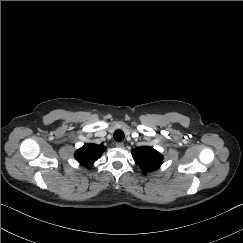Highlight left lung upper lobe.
Returning <instances> with one entry per match:
<instances>
[{
	"label": "left lung upper lobe",
	"instance_id": "5c2ea615",
	"mask_svg": "<svg viewBox=\"0 0 243 243\" xmlns=\"http://www.w3.org/2000/svg\"><path fill=\"white\" fill-rule=\"evenodd\" d=\"M134 161L141 167L145 175L150 171L157 170L161 164L163 156L153 148L148 146L137 147L132 151Z\"/></svg>",
	"mask_w": 243,
	"mask_h": 243
}]
</instances>
